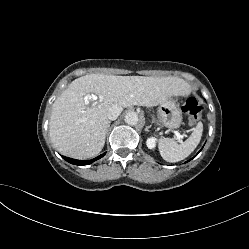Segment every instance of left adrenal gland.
<instances>
[{"label": "left adrenal gland", "instance_id": "obj_1", "mask_svg": "<svg viewBox=\"0 0 249 249\" xmlns=\"http://www.w3.org/2000/svg\"><path fill=\"white\" fill-rule=\"evenodd\" d=\"M150 126H146L145 131L149 132Z\"/></svg>", "mask_w": 249, "mask_h": 249}]
</instances>
